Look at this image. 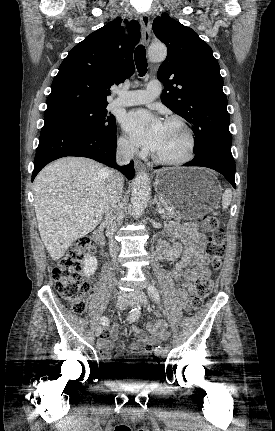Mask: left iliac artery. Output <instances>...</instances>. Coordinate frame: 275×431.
Listing matches in <instances>:
<instances>
[{
  "instance_id": "44dca946",
  "label": "left iliac artery",
  "mask_w": 275,
  "mask_h": 431,
  "mask_svg": "<svg viewBox=\"0 0 275 431\" xmlns=\"http://www.w3.org/2000/svg\"><path fill=\"white\" fill-rule=\"evenodd\" d=\"M148 294L151 297V299L156 302L159 303L160 302V297H159V292L156 289V287L154 286H149L148 287ZM162 353V347L158 346L155 348V354L160 355Z\"/></svg>"
}]
</instances>
